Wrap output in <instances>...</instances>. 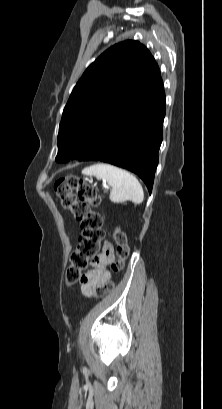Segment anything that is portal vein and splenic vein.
<instances>
[{
  "label": "portal vein and splenic vein",
  "instance_id": "1",
  "mask_svg": "<svg viewBox=\"0 0 222 409\" xmlns=\"http://www.w3.org/2000/svg\"><path fill=\"white\" fill-rule=\"evenodd\" d=\"M107 189L109 188L108 186L104 185Z\"/></svg>",
  "mask_w": 222,
  "mask_h": 409
}]
</instances>
